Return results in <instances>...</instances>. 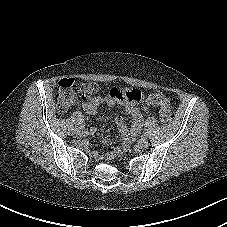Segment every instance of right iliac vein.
I'll list each match as a JSON object with an SVG mask.
<instances>
[{"instance_id":"1","label":"right iliac vein","mask_w":227,"mask_h":227,"mask_svg":"<svg viewBox=\"0 0 227 227\" xmlns=\"http://www.w3.org/2000/svg\"><path fill=\"white\" fill-rule=\"evenodd\" d=\"M73 135H74L75 138H81V137H83L84 133L81 130H76L73 133Z\"/></svg>"}]
</instances>
